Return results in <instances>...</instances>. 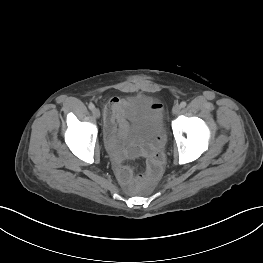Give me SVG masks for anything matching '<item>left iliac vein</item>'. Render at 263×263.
I'll list each match as a JSON object with an SVG mask.
<instances>
[{
  "instance_id": "1",
  "label": "left iliac vein",
  "mask_w": 263,
  "mask_h": 263,
  "mask_svg": "<svg viewBox=\"0 0 263 263\" xmlns=\"http://www.w3.org/2000/svg\"><path fill=\"white\" fill-rule=\"evenodd\" d=\"M180 111H181V106H180V105H175V106L173 107V109H172V112H173V114H175V115L179 114Z\"/></svg>"
}]
</instances>
